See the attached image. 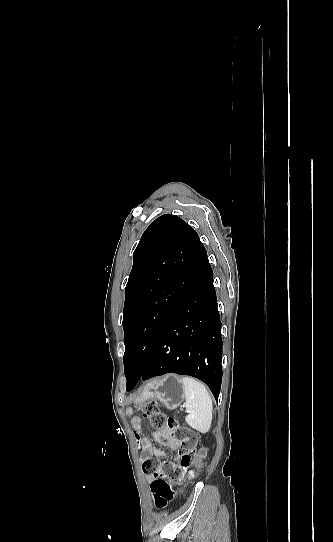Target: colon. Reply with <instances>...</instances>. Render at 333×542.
I'll list each match as a JSON object with an SVG mask.
<instances>
[{"label": "colon", "mask_w": 333, "mask_h": 542, "mask_svg": "<svg viewBox=\"0 0 333 542\" xmlns=\"http://www.w3.org/2000/svg\"><path fill=\"white\" fill-rule=\"evenodd\" d=\"M141 409L156 433H163L164 439L181 444L184 454L180 457V465L183 470L193 468L197 471L201 468L207 455V449L200 445L199 437L194 430L160 411L155 401L144 403ZM142 469L146 474L156 477V481L151 485V492L158 508L165 507L174 497L173 487L163 479L176 483L181 492L185 491L191 480V477L184 480L180 474L176 475L168 460L148 458L144 461Z\"/></svg>", "instance_id": "obj_1"}]
</instances>
